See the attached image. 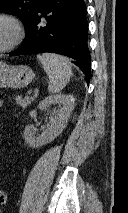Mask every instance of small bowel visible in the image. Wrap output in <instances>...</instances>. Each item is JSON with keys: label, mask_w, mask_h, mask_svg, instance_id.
Segmentation results:
<instances>
[{"label": "small bowel", "mask_w": 128, "mask_h": 213, "mask_svg": "<svg viewBox=\"0 0 128 213\" xmlns=\"http://www.w3.org/2000/svg\"><path fill=\"white\" fill-rule=\"evenodd\" d=\"M2 104H3V101H2V99L0 98V108L2 107Z\"/></svg>", "instance_id": "small-bowel-1"}]
</instances>
